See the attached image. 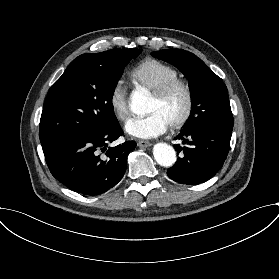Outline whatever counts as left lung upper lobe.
I'll return each mask as SVG.
<instances>
[{
  "instance_id": "left-lung-upper-lobe-1",
  "label": "left lung upper lobe",
  "mask_w": 279,
  "mask_h": 279,
  "mask_svg": "<svg viewBox=\"0 0 279 279\" xmlns=\"http://www.w3.org/2000/svg\"><path fill=\"white\" fill-rule=\"evenodd\" d=\"M151 55L175 65L189 81L192 110L183 129L206 124L233 128L227 88L200 58L182 49L160 50Z\"/></svg>"
}]
</instances>
